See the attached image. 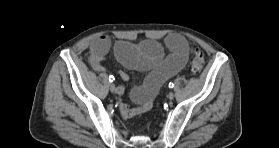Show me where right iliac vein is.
<instances>
[{"mask_svg":"<svg viewBox=\"0 0 279 148\" xmlns=\"http://www.w3.org/2000/svg\"><path fill=\"white\" fill-rule=\"evenodd\" d=\"M109 88H110V91L113 92V93H115L117 91V88L113 83L109 84Z\"/></svg>","mask_w":279,"mask_h":148,"instance_id":"1","label":"right iliac vein"}]
</instances>
